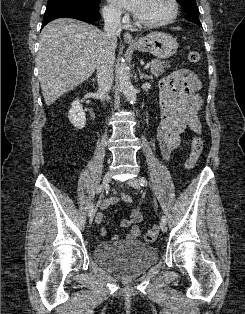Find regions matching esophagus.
I'll return each instance as SVG.
<instances>
[{
	"label": "esophagus",
	"mask_w": 245,
	"mask_h": 314,
	"mask_svg": "<svg viewBox=\"0 0 245 314\" xmlns=\"http://www.w3.org/2000/svg\"><path fill=\"white\" fill-rule=\"evenodd\" d=\"M123 39L126 43H135L136 41L133 39L132 35L128 32H124Z\"/></svg>",
	"instance_id": "1"
}]
</instances>
